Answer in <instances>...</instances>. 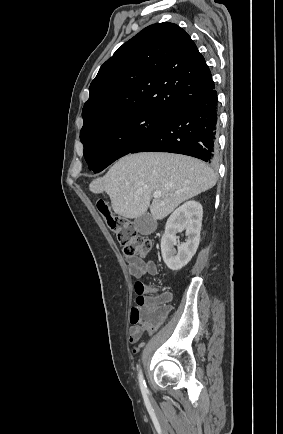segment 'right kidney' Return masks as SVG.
I'll list each match as a JSON object with an SVG mask.
<instances>
[{"label":"right kidney","mask_w":283,"mask_h":434,"mask_svg":"<svg viewBox=\"0 0 283 434\" xmlns=\"http://www.w3.org/2000/svg\"><path fill=\"white\" fill-rule=\"evenodd\" d=\"M203 208L194 200L184 203L168 218L161 239L162 257L169 269L177 271L192 259L200 241ZM185 231L186 242L178 244L177 233ZM177 246V251L174 248Z\"/></svg>","instance_id":"ca27d5eb"}]
</instances>
